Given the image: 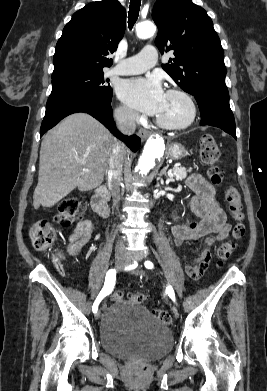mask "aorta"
Returning a JSON list of instances; mask_svg holds the SVG:
<instances>
[{
  "instance_id": "aorta-1",
  "label": "aorta",
  "mask_w": 267,
  "mask_h": 391,
  "mask_svg": "<svg viewBox=\"0 0 267 391\" xmlns=\"http://www.w3.org/2000/svg\"><path fill=\"white\" fill-rule=\"evenodd\" d=\"M156 32L155 25L150 21H144L136 25V35L140 39H146ZM164 140L159 136H151L145 146L143 153L138 161L136 172L139 175H147L155 166V162L163 154Z\"/></svg>"
}]
</instances>
